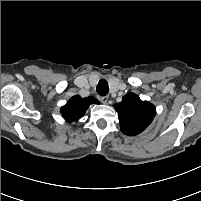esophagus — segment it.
Returning a JSON list of instances; mask_svg holds the SVG:
<instances>
[{
    "label": "esophagus",
    "mask_w": 201,
    "mask_h": 201,
    "mask_svg": "<svg viewBox=\"0 0 201 201\" xmlns=\"http://www.w3.org/2000/svg\"><path fill=\"white\" fill-rule=\"evenodd\" d=\"M100 100H101V102L103 104H107V102H108V96H102V97H100Z\"/></svg>",
    "instance_id": "1"
}]
</instances>
